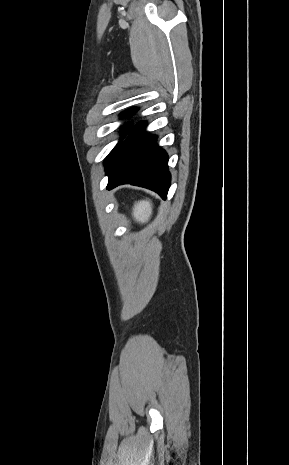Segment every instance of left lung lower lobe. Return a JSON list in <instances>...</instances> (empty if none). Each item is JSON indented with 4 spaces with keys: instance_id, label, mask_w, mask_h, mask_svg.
Instances as JSON below:
<instances>
[{
    "instance_id": "left-lung-lower-lobe-1",
    "label": "left lung lower lobe",
    "mask_w": 289,
    "mask_h": 465,
    "mask_svg": "<svg viewBox=\"0 0 289 465\" xmlns=\"http://www.w3.org/2000/svg\"><path fill=\"white\" fill-rule=\"evenodd\" d=\"M145 125L136 124L129 137L105 160L107 189L128 183L151 189L166 199L171 181L168 156L155 144L157 136L143 132Z\"/></svg>"
}]
</instances>
